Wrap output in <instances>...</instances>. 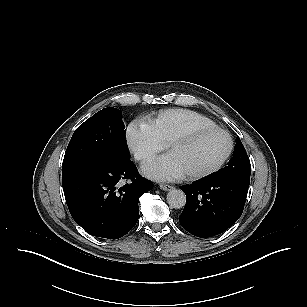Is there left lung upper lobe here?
<instances>
[{
    "instance_id": "left-lung-upper-lobe-1",
    "label": "left lung upper lobe",
    "mask_w": 307,
    "mask_h": 307,
    "mask_svg": "<svg viewBox=\"0 0 307 307\" xmlns=\"http://www.w3.org/2000/svg\"><path fill=\"white\" fill-rule=\"evenodd\" d=\"M236 141L233 157L229 160L228 166L205 178L218 181L227 179H250L251 164L249 157L239 137H237Z\"/></svg>"
}]
</instances>
